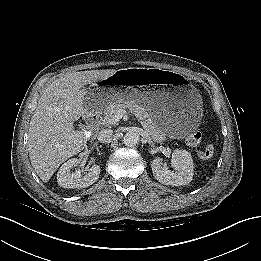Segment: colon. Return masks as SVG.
Instances as JSON below:
<instances>
[{
  "label": "colon",
  "instance_id": "obj_1",
  "mask_svg": "<svg viewBox=\"0 0 261 261\" xmlns=\"http://www.w3.org/2000/svg\"><path fill=\"white\" fill-rule=\"evenodd\" d=\"M201 133L194 131L187 139L188 144L193 148H198L201 144ZM215 149L212 144L206 145L203 149H197V157L200 160H208L214 156Z\"/></svg>",
  "mask_w": 261,
  "mask_h": 261
}]
</instances>
